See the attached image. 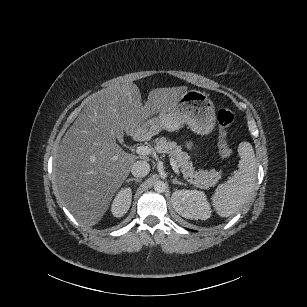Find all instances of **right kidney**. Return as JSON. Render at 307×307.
I'll return each instance as SVG.
<instances>
[{
  "label": "right kidney",
  "mask_w": 307,
  "mask_h": 307,
  "mask_svg": "<svg viewBox=\"0 0 307 307\" xmlns=\"http://www.w3.org/2000/svg\"><path fill=\"white\" fill-rule=\"evenodd\" d=\"M132 193L130 186L119 189L110 205V214L113 217L120 218L127 213L131 205Z\"/></svg>",
  "instance_id": "obj_1"
}]
</instances>
